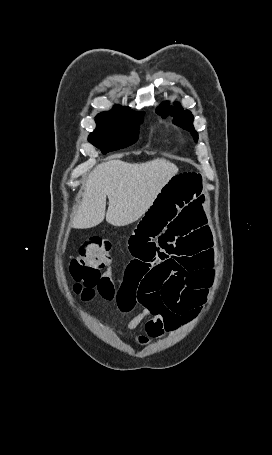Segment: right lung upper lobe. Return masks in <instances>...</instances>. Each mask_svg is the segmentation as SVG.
Wrapping results in <instances>:
<instances>
[{
  "label": "right lung upper lobe",
  "mask_w": 272,
  "mask_h": 455,
  "mask_svg": "<svg viewBox=\"0 0 272 455\" xmlns=\"http://www.w3.org/2000/svg\"><path fill=\"white\" fill-rule=\"evenodd\" d=\"M126 108H123L121 106H115L111 111L109 112H103V113H114V112H118V111H121V110H124Z\"/></svg>",
  "instance_id": "obj_1"
}]
</instances>
